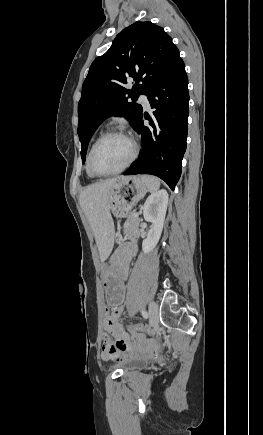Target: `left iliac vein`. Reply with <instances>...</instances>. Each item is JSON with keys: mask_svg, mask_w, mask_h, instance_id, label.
Returning <instances> with one entry per match:
<instances>
[{"mask_svg": "<svg viewBox=\"0 0 263 435\" xmlns=\"http://www.w3.org/2000/svg\"><path fill=\"white\" fill-rule=\"evenodd\" d=\"M157 320H158V306L154 301H152L149 305V324H150V326L155 325Z\"/></svg>", "mask_w": 263, "mask_h": 435, "instance_id": "left-iliac-vein-1", "label": "left iliac vein"}]
</instances>
